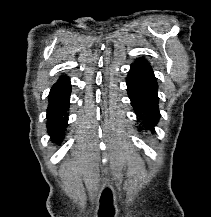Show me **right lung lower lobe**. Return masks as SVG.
Returning <instances> with one entry per match:
<instances>
[{
    "label": "right lung lower lobe",
    "instance_id": "obj_1",
    "mask_svg": "<svg viewBox=\"0 0 211 217\" xmlns=\"http://www.w3.org/2000/svg\"><path fill=\"white\" fill-rule=\"evenodd\" d=\"M71 83L69 78L58 80L50 90L47 108V132L52 142L61 143L68 122Z\"/></svg>",
    "mask_w": 211,
    "mask_h": 217
}]
</instances>
